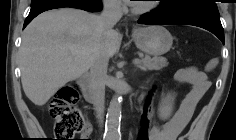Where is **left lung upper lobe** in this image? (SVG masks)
<instances>
[{
    "instance_id": "left-lung-upper-lobe-1",
    "label": "left lung upper lobe",
    "mask_w": 236,
    "mask_h": 140,
    "mask_svg": "<svg viewBox=\"0 0 236 140\" xmlns=\"http://www.w3.org/2000/svg\"><path fill=\"white\" fill-rule=\"evenodd\" d=\"M157 10L161 11L164 15L196 13L220 16L215 0H164Z\"/></svg>"
}]
</instances>
